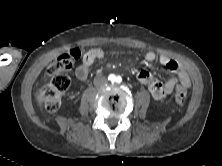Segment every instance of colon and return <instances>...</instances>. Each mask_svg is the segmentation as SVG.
<instances>
[{"label": "colon", "mask_w": 222, "mask_h": 166, "mask_svg": "<svg viewBox=\"0 0 222 166\" xmlns=\"http://www.w3.org/2000/svg\"><path fill=\"white\" fill-rule=\"evenodd\" d=\"M81 58V51L71 49L60 54L46 69V74L51 78L38 92V100L48 111H56L62 101L63 93L70 85V79L65 71L71 68ZM187 88L178 85L174 91V100L178 105L184 104L187 99Z\"/></svg>", "instance_id": "obj_1"}]
</instances>
